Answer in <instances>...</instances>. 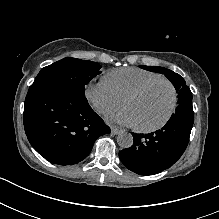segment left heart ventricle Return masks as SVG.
<instances>
[{
  "mask_svg": "<svg viewBox=\"0 0 219 219\" xmlns=\"http://www.w3.org/2000/svg\"><path fill=\"white\" fill-rule=\"evenodd\" d=\"M172 99V91L167 83H157L141 95L126 103V109L135 117L136 125L154 126L165 117Z\"/></svg>",
  "mask_w": 219,
  "mask_h": 219,
  "instance_id": "b2bd125f",
  "label": "left heart ventricle"
}]
</instances>
